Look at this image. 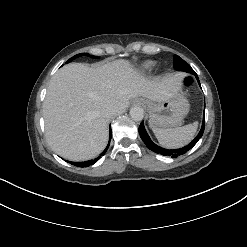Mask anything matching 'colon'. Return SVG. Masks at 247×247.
<instances>
[{"label": "colon", "mask_w": 247, "mask_h": 247, "mask_svg": "<svg viewBox=\"0 0 247 247\" xmlns=\"http://www.w3.org/2000/svg\"><path fill=\"white\" fill-rule=\"evenodd\" d=\"M184 83L186 86L191 87L192 86V80L190 78H186L184 80Z\"/></svg>", "instance_id": "1"}]
</instances>
